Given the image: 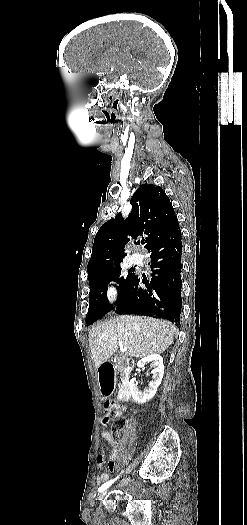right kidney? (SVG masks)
I'll return each instance as SVG.
<instances>
[{
  "mask_svg": "<svg viewBox=\"0 0 247 525\" xmlns=\"http://www.w3.org/2000/svg\"><path fill=\"white\" fill-rule=\"evenodd\" d=\"M148 363L150 367H152V377L151 381L148 383V387H145L143 391H140L136 379H131L129 383L131 395L138 405H144V403H148V401L153 399L154 395L157 393L159 385L162 383L164 375L163 359L160 355H148V357H144V359L138 361L137 367L138 369H143Z\"/></svg>",
  "mask_w": 247,
  "mask_h": 525,
  "instance_id": "obj_1",
  "label": "right kidney"
}]
</instances>
